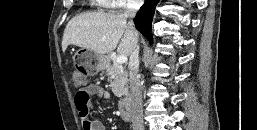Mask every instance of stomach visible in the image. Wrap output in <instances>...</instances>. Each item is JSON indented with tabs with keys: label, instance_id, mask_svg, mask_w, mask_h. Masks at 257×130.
Here are the masks:
<instances>
[{
	"label": "stomach",
	"instance_id": "stomach-1",
	"mask_svg": "<svg viewBox=\"0 0 257 130\" xmlns=\"http://www.w3.org/2000/svg\"><path fill=\"white\" fill-rule=\"evenodd\" d=\"M76 63L82 67L83 72L89 76L95 75L103 70L107 63L104 55L97 54L92 50L81 48L75 53Z\"/></svg>",
	"mask_w": 257,
	"mask_h": 130
}]
</instances>
